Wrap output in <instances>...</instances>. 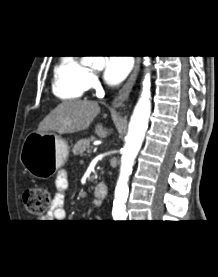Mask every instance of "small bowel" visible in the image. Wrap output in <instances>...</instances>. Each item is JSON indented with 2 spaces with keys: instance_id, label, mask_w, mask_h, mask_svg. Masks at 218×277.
I'll return each mask as SVG.
<instances>
[{
  "instance_id": "1",
  "label": "small bowel",
  "mask_w": 218,
  "mask_h": 277,
  "mask_svg": "<svg viewBox=\"0 0 218 277\" xmlns=\"http://www.w3.org/2000/svg\"><path fill=\"white\" fill-rule=\"evenodd\" d=\"M67 187V173L65 170H60L55 178L56 193L52 200V207L45 216L46 220L62 222L66 218L67 212L65 208V191Z\"/></svg>"
}]
</instances>
